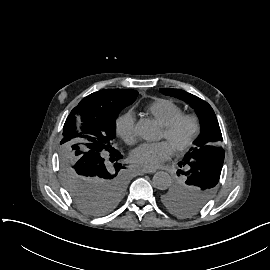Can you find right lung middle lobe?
Masks as SVG:
<instances>
[{
	"label": "right lung middle lobe",
	"mask_w": 270,
	"mask_h": 270,
	"mask_svg": "<svg viewBox=\"0 0 270 270\" xmlns=\"http://www.w3.org/2000/svg\"><path fill=\"white\" fill-rule=\"evenodd\" d=\"M137 95L136 90L126 89H118L113 98L92 93L65 121L58 147L60 178L73 204L85 214L103 215L124 198L127 177L120 169L125 167L118 162L122 155L112 140L116 117Z\"/></svg>",
	"instance_id": "right-lung-middle-lobe-1"
}]
</instances>
